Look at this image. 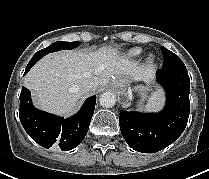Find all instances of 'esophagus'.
<instances>
[{"mask_svg":"<svg viewBox=\"0 0 209 179\" xmlns=\"http://www.w3.org/2000/svg\"><path fill=\"white\" fill-rule=\"evenodd\" d=\"M118 101L120 102V103H127L128 101H129V94L127 93V92H120L119 94H118Z\"/></svg>","mask_w":209,"mask_h":179,"instance_id":"1","label":"esophagus"}]
</instances>
